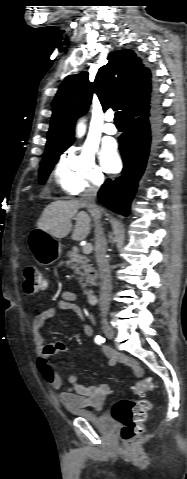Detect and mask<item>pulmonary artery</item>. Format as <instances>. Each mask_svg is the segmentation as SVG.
Masks as SVG:
<instances>
[{
	"instance_id": "obj_1",
	"label": "pulmonary artery",
	"mask_w": 187,
	"mask_h": 479,
	"mask_svg": "<svg viewBox=\"0 0 187 479\" xmlns=\"http://www.w3.org/2000/svg\"><path fill=\"white\" fill-rule=\"evenodd\" d=\"M113 115L109 114L106 116V124L104 125V132L108 135H115L117 133V128L113 124Z\"/></svg>"
}]
</instances>
